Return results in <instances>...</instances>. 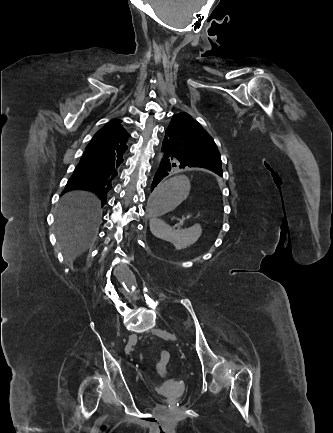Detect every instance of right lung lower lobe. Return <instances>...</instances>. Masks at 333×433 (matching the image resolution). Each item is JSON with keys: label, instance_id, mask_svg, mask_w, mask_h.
<instances>
[{"label": "right lung lower lobe", "instance_id": "98d812e1", "mask_svg": "<svg viewBox=\"0 0 333 433\" xmlns=\"http://www.w3.org/2000/svg\"><path fill=\"white\" fill-rule=\"evenodd\" d=\"M94 138V137H93ZM127 145L120 147H100L97 140L92 139L87 145L73 175L63 191L84 189L99 194L102 206L107 203V193L118 176L123 163Z\"/></svg>", "mask_w": 333, "mask_h": 433}]
</instances>
